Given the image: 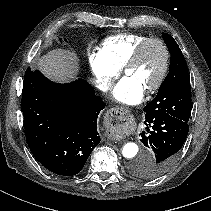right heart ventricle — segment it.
I'll return each mask as SVG.
<instances>
[{
  "instance_id": "obj_1",
  "label": "right heart ventricle",
  "mask_w": 211,
  "mask_h": 211,
  "mask_svg": "<svg viewBox=\"0 0 211 211\" xmlns=\"http://www.w3.org/2000/svg\"><path fill=\"white\" fill-rule=\"evenodd\" d=\"M147 38L144 34L122 33L103 40L101 52L111 64L122 68L135 47Z\"/></svg>"
}]
</instances>
